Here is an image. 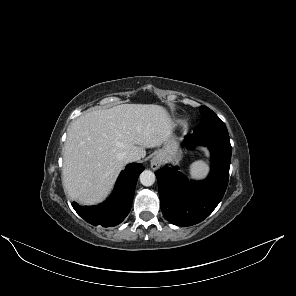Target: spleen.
Returning a JSON list of instances; mask_svg holds the SVG:
<instances>
[{"label":"spleen","mask_w":296,"mask_h":296,"mask_svg":"<svg viewBox=\"0 0 296 296\" xmlns=\"http://www.w3.org/2000/svg\"><path fill=\"white\" fill-rule=\"evenodd\" d=\"M189 171L192 178L200 179L207 175L209 168L206 162L203 160H198L190 165Z\"/></svg>","instance_id":"3e777b00"}]
</instances>
